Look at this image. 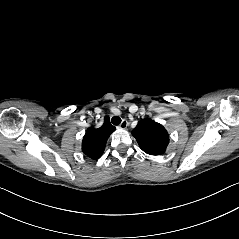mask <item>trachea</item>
Masks as SVG:
<instances>
[{
  "label": "trachea",
  "mask_w": 239,
  "mask_h": 239,
  "mask_svg": "<svg viewBox=\"0 0 239 239\" xmlns=\"http://www.w3.org/2000/svg\"><path fill=\"white\" fill-rule=\"evenodd\" d=\"M111 122L112 124L114 125H119L121 123V118L119 116H114L112 119H111Z\"/></svg>",
  "instance_id": "trachea-1"
}]
</instances>
